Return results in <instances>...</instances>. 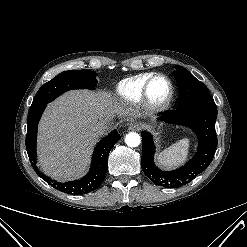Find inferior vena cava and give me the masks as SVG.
I'll return each instance as SVG.
<instances>
[{"label": "inferior vena cava", "instance_id": "602c4592", "mask_svg": "<svg viewBox=\"0 0 247 247\" xmlns=\"http://www.w3.org/2000/svg\"><path fill=\"white\" fill-rule=\"evenodd\" d=\"M108 130L109 123L105 120L98 121L93 127V131L99 136L105 134Z\"/></svg>", "mask_w": 247, "mask_h": 247}]
</instances>
